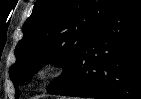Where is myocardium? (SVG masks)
<instances>
[{"instance_id":"obj_1","label":"myocardium","mask_w":141,"mask_h":99,"mask_svg":"<svg viewBox=\"0 0 141 99\" xmlns=\"http://www.w3.org/2000/svg\"><path fill=\"white\" fill-rule=\"evenodd\" d=\"M64 70L62 60L56 57H48L40 62L35 70V78L40 81L51 79Z\"/></svg>"}]
</instances>
